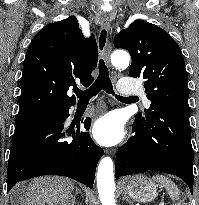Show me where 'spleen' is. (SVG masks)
<instances>
[{
    "mask_svg": "<svg viewBox=\"0 0 199 205\" xmlns=\"http://www.w3.org/2000/svg\"><path fill=\"white\" fill-rule=\"evenodd\" d=\"M153 179L166 188L172 200L175 201L179 198L180 192L178 190V187L171 179H169L168 177L164 175L153 176Z\"/></svg>",
    "mask_w": 199,
    "mask_h": 205,
    "instance_id": "spleen-1",
    "label": "spleen"
}]
</instances>
